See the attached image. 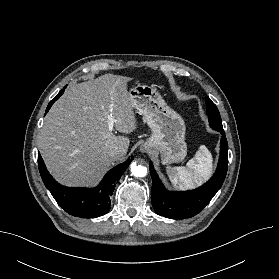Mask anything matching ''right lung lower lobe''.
<instances>
[{
  "label": "right lung lower lobe",
  "mask_w": 279,
  "mask_h": 279,
  "mask_svg": "<svg viewBox=\"0 0 279 279\" xmlns=\"http://www.w3.org/2000/svg\"><path fill=\"white\" fill-rule=\"evenodd\" d=\"M64 89H62L58 95L50 101L46 112H48L52 104L63 94ZM130 163L131 160L128 159L112 168L96 188H69L60 185L52 178L45 167L41 155L38 153L39 172L45 186L51 192L57 203L67 213L83 218L99 217L110 210V196L115 188V183L119 181Z\"/></svg>",
  "instance_id": "right-lung-lower-lobe-1"
}]
</instances>
